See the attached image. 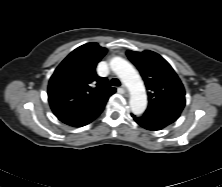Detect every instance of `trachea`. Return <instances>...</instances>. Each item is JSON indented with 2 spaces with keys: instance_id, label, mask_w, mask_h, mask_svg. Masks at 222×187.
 Wrapping results in <instances>:
<instances>
[{
  "instance_id": "1",
  "label": "trachea",
  "mask_w": 222,
  "mask_h": 187,
  "mask_svg": "<svg viewBox=\"0 0 222 187\" xmlns=\"http://www.w3.org/2000/svg\"><path fill=\"white\" fill-rule=\"evenodd\" d=\"M110 84H111L112 86H115V87L121 85L120 81H119L117 78H113V79L111 80Z\"/></svg>"
}]
</instances>
